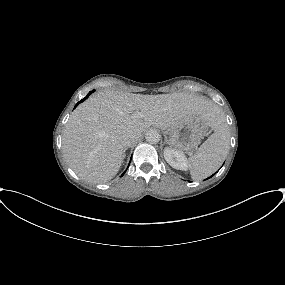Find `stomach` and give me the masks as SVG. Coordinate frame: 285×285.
<instances>
[{
    "label": "stomach",
    "instance_id": "0dacf381",
    "mask_svg": "<svg viewBox=\"0 0 285 285\" xmlns=\"http://www.w3.org/2000/svg\"><path fill=\"white\" fill-rule=\"evenodd\" d=\"M209 127V121L203 115L195 114L177 126L168 129V142L179 150L194 151Z\"/></svg>",
    "mask_w": 285,
    "mask_h": 285
}]
</instances>
